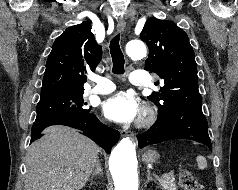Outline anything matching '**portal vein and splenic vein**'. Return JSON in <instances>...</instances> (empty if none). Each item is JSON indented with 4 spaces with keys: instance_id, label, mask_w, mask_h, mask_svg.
Instances as JSON below:
<instances>
[{
    "instance_id": "obj_1",
    "label": "portal vein and splenic vein",
    "mask_w": 238,
    "mask_h": 190,
    "mask_svg": "<svg viewBox=\"0 0 238 190\" xmlns=\"http://www.w3.org/2000/svg\"><path fill=\"white\" fill-rule=\"evenodd\" d=\"M169 175L168 174H164L162 177H168Z\"/></svg>"
}]
</instances>
